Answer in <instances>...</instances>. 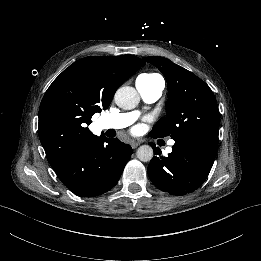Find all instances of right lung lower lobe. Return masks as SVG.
<instances>
[{
	"label": "right lung lower lobe",
	"instance_id": "right-lung-lower-lobe-1",
	"mask_svg": "<svg viewBox=\"0 0 261 261\" xmlns=\"http://www.w3.org/2000/svg\"><path fill=\"white\" fill-rule=\"evenodd\" d=\"M132 152L129 145L118 139L102 136L55 172L62 183L77 196L95 197L115 186Z\"/></svg>",
	"mask_w": 261,
	"mask_h": 261
}]
</instances>
